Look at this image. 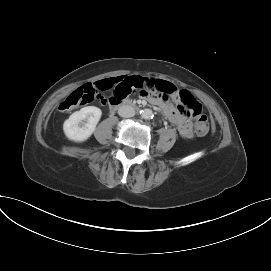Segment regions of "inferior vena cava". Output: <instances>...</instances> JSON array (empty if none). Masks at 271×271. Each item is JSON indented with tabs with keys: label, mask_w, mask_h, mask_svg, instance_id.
I'll list each match as a JSON object with an SVG mask.
<instances>
[{
	"label": "inferior vena cava",
	"mask_w": 271,
	"mask_h": 271,
	"mask_svg": "<svg viewBox=\"0 0 271 271\" xmlns=\"http://www.w3.org/2000/svg\"><path fill=\"white\" fill-rule=\"evenodd\" d=\"M118 114L121 117L129 118V117H133L135 115V110L130 105H122L118 109Z\"/></svg>",
	"instance_id": "1"
}]
</instances>
